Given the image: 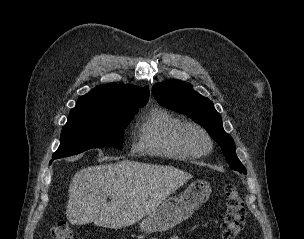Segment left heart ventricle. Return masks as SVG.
Instances as JSON below:
<instances>
[{"mask_svg":"<svg viewBox=\"0 0 304 239\" xmlns=\"http://www.w3.org/2000/svg\"><path fill=\"white\" fill-rule=\"evenodd\" d=\"M188 143L195 149H204L207 145L205 137L197 130H189L186 134Z\"/></svg>","mask_w":304,"mask_h":239,"instance_id":"left-heart-ventricle-1","label":"left heart ventricle"}]
</instances>
